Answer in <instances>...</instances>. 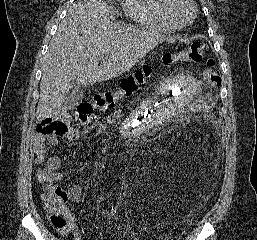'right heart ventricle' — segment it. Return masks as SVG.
<instances>
[{
    "mask_svg": "<svg viewBox=\"0 0 257 240\" xmlns=\"http://www.w3.org/2000/svg\"><path fill=\"white\" fill-rule=\"evenodd\" d=\"M123 11L137 24L162 33H172L175 28L163 17L160 0H121Z\"/></svg>",
    "mask_w": 257,
    "mask_h": 240,
    "instance_id": "1",
    "label": "right heart ventricle"
}]
</instances>
